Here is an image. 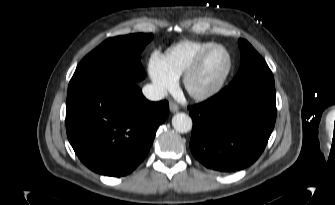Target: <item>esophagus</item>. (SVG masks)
I'll use <instances>...</instances> for the list:
<instances>
[{
	"mask_svg": "<svg viewBox=\"0 0 335 205\" xmlns=\"http://www.w3.org/2000/svg\"><path fill=\"white\" fill-rule=\"evenodd\" d=\"M169 108L172 113H176L179 111V106L175 102H170Z\"/></svg>",
	"mask_w": 335,
	"mask_h": 205,
	"instance_id": "esophagus-1",
	"label": "esophagus"
}]
</instances>
